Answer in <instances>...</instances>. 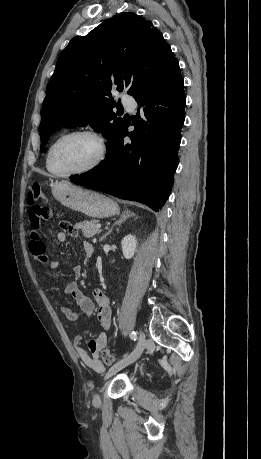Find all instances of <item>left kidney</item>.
<instances>
[{
    "label": "left kidney",
    "instance_id": "obj_1",
    "mask_svg": "<svg viewBox=\"0 0 261 459\" xmlns=\"http://www.w3.org/2000/svg\"><path fill=\"white\" fill-rule=\"evenodd\" d=\"M123 255L126 259H131L137 248V239L135 236L129 234L125 236L121 242Z\"/></svg>",
    "mask_w": 261,
    "mask_h": 459
}]
</instances>
